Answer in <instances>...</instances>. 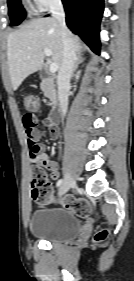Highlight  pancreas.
<instances>
[{
    "label": "pancreas",
    "mask_w": 134,
    "mask_h": 281,
    "mask_svg": "<svg viewBox=\"0 0 134 281\" xmlns=\"http://www.w3.org/2000/svg\"><path fill=\"white\" fill-rule=\"evenodd\" d=\"M41 90L44 92V95L50 99L52 103H56L57 95L54 87V83L51 79H44L41 83Z\"/></svg>",
    "instance_id": "obj_1"
}]
</instances>
